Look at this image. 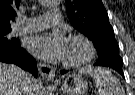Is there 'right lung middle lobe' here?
<instances>
[{
    "instance_id": "1",
    "label": "right lung middle lobe",
    "mask_w": 135,
    "mask_h": 95,
    "mask_svg": "<svg viewBox=\"0 0 135 95\" xmlns=\"http://www.w3.org/2000/svg\"><path fill=\"white\" fill-rule=\"evenodd\" d=\"M11 31L10 30H0V44H10L15 39L12 38L11 40L7 39L6 35Z\"/></svg>"
}]
</instances>
